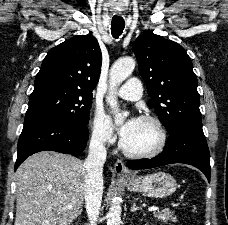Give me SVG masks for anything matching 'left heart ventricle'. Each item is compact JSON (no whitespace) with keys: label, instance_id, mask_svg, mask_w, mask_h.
Listing matches in <instances>:
<instances>
[{"label":"left heart ventricle","instance_id":"b2bd125f","mask_svg":"<svg viewBox=\"0 0 228 225\" xmlns=\"http://www.w3.org/2000/svg\"><path fill=\"white\" fill-rule=\"evenodd\" d=\"M160 141L156 126L149 122L139 121L134 135L125 140L127 146L134 150L149 151L155 149Z\"/></svg>","mask_w":228,"mask_h":225}]
</instances>
